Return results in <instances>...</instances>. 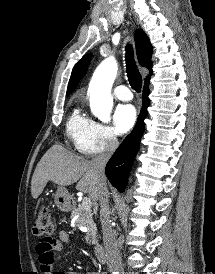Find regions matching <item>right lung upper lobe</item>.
Segmentation results:
<instances>
[{"instance_id": "cb5924a9", "label": "right lung upper lobe", "mask_w": 215, "mask_h": 274, "mask_svg": "<svg viewBox=\"0 0 215 274\" xmlns=\"http://www.w3.org/2000/svg\"><path fill=\"white\" fill-rule=\"evenodd\" d=\"M135 45H136V52L137 57L140 65L148 68L150 70L149 76L146 78V82H149L150 76L152 74V46L150 44L149 38L142 30H137L135 32ZM91 60V54H87L81 58V60L76 63L73 68L68 88H67V95L70 94L78 85L81 77L87 70L88 64Z\"/></svg>"}]
</instances>
